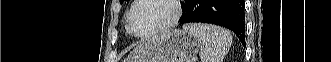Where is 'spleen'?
Wrapping results in <instances>:
<instances>
[{"label":"spleen","instance_id":"obj_1","mask_svg":"<svg viewBox=\"0 0 331 62\" xmlns=\"http://www.w3.org/2000/svg\"><path fill=\"white\" fill-rule=\"evenodd\" d=\"M183 29L201 42V62H222L232 44L231 34L217 26L192 23L184 25Z\"/></svg>","mask_w":331,"mask_h":62}]
</instances>
